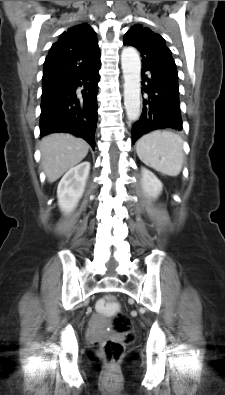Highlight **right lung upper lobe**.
I'll return each instance as SVG.
<instances>
[{"instance_id": "obj_1", "label": "right lung upper lobe", "mask_w": 225, "mask_h": 395, "mask_svg": "<svg viewBox=\"0 0 225 395\" xmlns=\"http://www.w3.org/2000/svg\"><path fill=\"white\" fill-rule=\"evenodd\" d=\"M100 60L98 40L86 23L63 32L49 50L44 62L42 82L46 84L62 75L78 72Z\"/></svg>"}]
</instances>
